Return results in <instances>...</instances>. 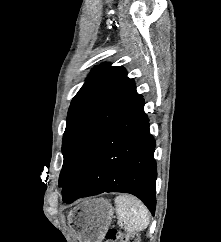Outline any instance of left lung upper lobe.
Returning a JSON list of instances; mask_svg holds the SVG:
<instances>
[{
  "label": "left lung upper lobe",
  "instance_id": "obj_1",
  "mask_svg": "<svg viewBox=\"0 0 221 242\" xmlns=\"http://www.w3.org/2000/svg\"><path fill=\"white\" fill-rule=\"evenodd\" d=\"M142 99L122 67H95L73 98L63 136L59 186L66 189L96 142Z\"/></svg>",
  "mask_w": 221,
  "mask_h": 242
}]
</instances>
